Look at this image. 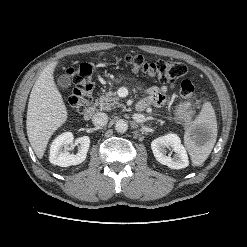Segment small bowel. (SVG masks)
I'll return each mask as SVG.
<instances>
[{"label":"small bowel","mask_w":247,"mask_h":247,"mask_svg":"<svg viewBox=\"0 0 247 247\" xmlns=\"http://www.w3.org/2000/svg\"><path fill=\"white\" fill-rule=\"evenodd\" d=\"M165 91L166 87H151L147 90V97L142 100V102L146 104V106H162L166 101Z\"/></svg>","instance_id":"small-bowel-1"}]
</instances>
